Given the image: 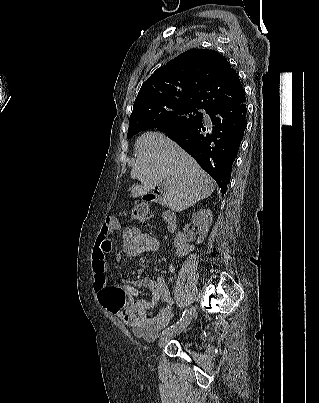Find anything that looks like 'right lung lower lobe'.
Here are the masks:
<instances>
[{"label":"right lung lower lobe","mask_w":319,"mask_h":403,"mask_svg":"<svg viewBox=\"0 0 319 403\" xmlns=\"http://www.w3.org/2000/svg\"><path fill=\"white\" fill-rule=\"evenodd\" d=\"M213 124L201 119L187 127L162 130L191 155L217 182L224 194L230 182L232 165L247 126L246 104L238 102L206 112Z\"/></svg>","instance_id":"1"}]
</instances>
